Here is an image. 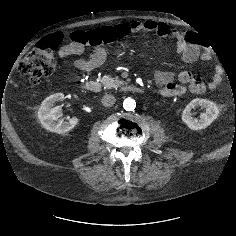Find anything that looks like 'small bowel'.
I'll list each match as a JSON object with an SVG mask.
<instances>
[{"label": "small bowel", "instance_id": "c3829d8e", "mask_svg": "<svg viewBox=\"0 0 236 236\" xmlns=\"http://www.w3.org/2000/svg\"><path fill=\"white\" fill-rule=\"evenodd\" d=\"M129 32H154L160 37L171 36L176 41V53L184 63H192L200 56L208 59V54H201L196 45V36L193 32H182L171 28L167 23L154 20L133 21L126 24ZM84 45L78 42L63 44L58 49V55L61 60L70 66L81 71L90 72L100 67L107 56L104 48H97L92 51L88 58L78 57L84 53ZM157 86L160 88V94L164 97H180L186 92L200 94L206 90V84L202 78L195 73L182 71L177 76L168 71H157L154 76ZM176 79L178 82H176ZM222 80V71L216 70L208 87L215 89Z\"/></svg>", "mask_w": 236, "mask_h": 236}]
</instances>
